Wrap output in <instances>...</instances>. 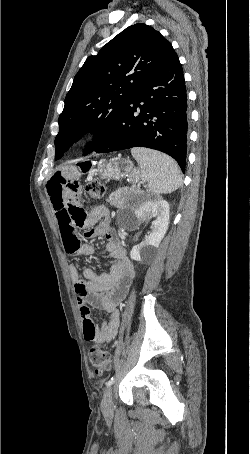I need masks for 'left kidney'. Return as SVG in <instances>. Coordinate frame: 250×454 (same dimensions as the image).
<instances>
[{
	"instance_id": "left-kidney-1",
	"label": "left kidney",
	"mask_w": 250,
	"mask_h": 454,
	"mask_svg": "<svg viewBox=\"0 0 250 454\" xmlns=\"http://www.w3.org/2000/svg\"><path fill=\"white\" fill-rule=\"evenodd\" d=\"M134 215L138 224L153 219L152 232L130 252L131 259L140 261L145 257L153 256L159 247L168 229L169 204L161 199L146 201L134 210Z\"/></svg>"
}]
</instances>
